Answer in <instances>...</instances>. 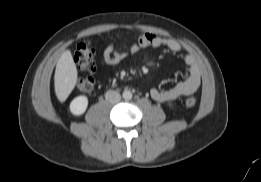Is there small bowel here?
I'll return each instance as SVG.
<instances>
[{"mask_svg": "<svg viewBox=\"0 0 261 182\" xmlns=\"http://www.w3.org/2000/svg\"><path fill=\"white\" fill-rule=\"evenodd\" d=\"M149 47H164L173 53H182V45L175 39L154 35L143 34L130 48V53H137L141 49ZM128 53L121 51L114 44H109L101 57V66L118 65L126 57ZM183 63L188 69V76L185 80L177 83L172 88L167 90L151 89L150 95L157 102H168L175 100L181 96H186L195 93L201 84V72L195 57L191 54L183 55Z\"/></svg>", "mask_w": 261, "mask_h": 182, "instance_id": "c3829d8e", "label": "small bowel"}]
</instances>
